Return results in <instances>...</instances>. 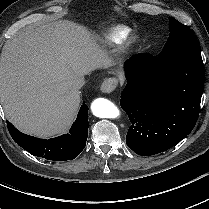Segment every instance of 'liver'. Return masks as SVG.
Returning a JSON list of instances; mask_svg holds the SVG:
<instances>
[{
    "mask_svg": "<svg viewBox=\"0 0 209 209\" xmlns=\"http://www.w3.org/2000/svg\"><path fill=\"white\" fill-rule=\"evenodd\" d=\"M111 64L85 26L69 20L28 26L3 46L0 103L6 117L24 133H66L80 104L73 81Z\"/></svg>",
    "mask_w": 209,
    "mask_h": 209,
    "instance_id": "1",
    "label": "liver"
}]
</instances>
